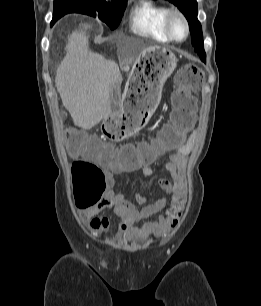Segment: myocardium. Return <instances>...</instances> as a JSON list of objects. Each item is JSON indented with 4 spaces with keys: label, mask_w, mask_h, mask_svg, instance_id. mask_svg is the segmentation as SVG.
<instances>
[{
    "label": "myocardium",
    "mask_w": 261,
    "mask_h": 306,
    "mask_svg": "<svg viewBox=\"0 0 261 306\" xmlns=\"http://www.w3.org/2000/svg\"><path fill=\"white\" fill-rule=\"evenodd\" d=\"M175 19H178L184 27L185 34H184L183 38H177L173 34L172 23ZM165 30H166L169 38L172 41H175V42H182V41L186 40L189 36V33H190L189 23H188L186 17L184 16V14L181 11L176 10V9H172V10L168 11V13L165 17Z\"/></svg>",
    "instance_id": "1"
}]
</instances>
